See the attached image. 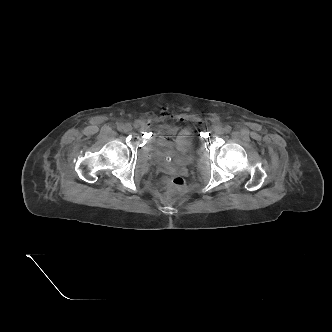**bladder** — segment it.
I'll return each instance as SVG.
<instances>
[{"label":"bladder","instance_id":"obj_1","mask_svg":"<svg viewBox=\"0 0 332 332\" xmlns=\"http://www.w3.org/2000/svg\"><path fill=\"white\" fill-rule=\"evenodd\" d=\"M150 151L154 154L155 160L160 165H166L170 158L173 162L184 165L193 157L196 150V142L193 137H188L181 146L162 147L154 141L148 143Z\"/></svg>","mask_w":332,"mask_h":332}]
</instances>
